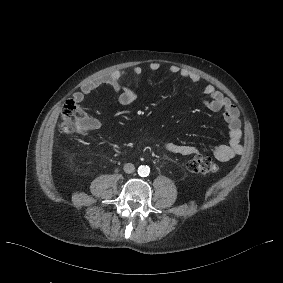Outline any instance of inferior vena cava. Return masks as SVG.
Masks as SVG:
<instances>
[{
  "instance_id": "1",
  "label": "inferior vena cava",
  "mask_w": 283,
  "mask_h": 283,
  "mask_svg": "<svg viewBox=\"0 0 283 283\" xmlns=\"http://www.w3.org/2000/svg\"><path fill=\"white\" fill-rule=\"evenodd\" d=\"M124 171L126 173H133L135 171V166L132 163H127L124 165Z\"/></svg>"
}]
</instances>
